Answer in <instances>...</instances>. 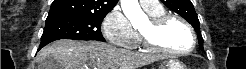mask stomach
Returning <instances> with one entry per match:
<instances>
[{"instance_id": "1", "label": "stomach", "mask_w": 246, "mask_h": 69, "mask_svg": "<svg viewBox=\"0 0 246 69\" xmlns=\"http://www.w3.org/2000/svg\"><path fill=\"white\" fill-rule=\"evenodd\" d=\"M159 69H185L184 65L178 60H165L161 63Z\"/></svg>"}]
</instances>
